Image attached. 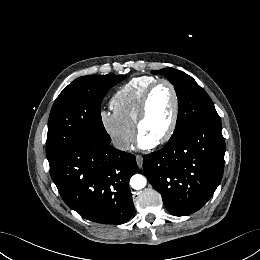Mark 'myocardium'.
Instances as JSON below:
<instances>
[{
  "mask_svg": "<svg viewBox=\"0 0 260 260\" xmlns=\"http://www.w3.org/2000/svg\"><path fill=\"white\" fill-rule=\"evenodd\" d=\"M160 85H166L170 88L171 93L173 95L174 104H173V113H172L170 125L167 131L165 132V134L156 141V144H164L168 142L174 135L178 124L179 111H180V99H179L177 89L172 82H170L167 79H157L153 84L149 86V88L147 89V91L145 92L142 98L137 119L135 122L136 130L138 134H140L141 124L147 115L151 96L154 93V91L157 89V87H159Z\"/></svg>",
  "mask_w": 260,
  "mask_h": 260,
  "instance_id": "f54148a6",
  "label": "myocardium"
}]
</instances>
